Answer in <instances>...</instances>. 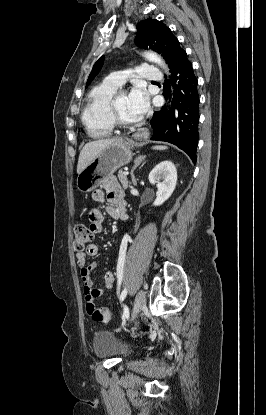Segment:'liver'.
I'll use <instances>...</instances> for the list:
<instances>
[{
    "label": "liver",
    "mask_w": 266,
    "mask_h": 415,
    "mask_svg": "<svg viewBox=\"0 0 266 415\" xmlns=\"http://www.w3.org/2000/svg\"><path fill=\"white\" fill-rule=\"evenodd\" d=\"M118 139H101L85 144L79 155L77 173H81L104 148Z\"/></svg>",
    "instance_id": "liver-1"
}]
</instances>
